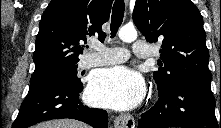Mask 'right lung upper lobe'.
<instances>
[{
	"mask_svg": "<svg viewBox=\"0 0 221 128\" xmlns=\"http://www.w3.org/2000/svg\"><path fill=\"white\" fill-rule=\"evenodd\" d=\"M113 0H52L43 12L35 42L32 76L76 65L79 45L90 36L103 42Z\"/></svg>",
	"mask_w": 221,
	"mask_h": 128,
	"instance_id": "cb5924a9",
	"label": "right lung upper lobe"
}]
</instances>
